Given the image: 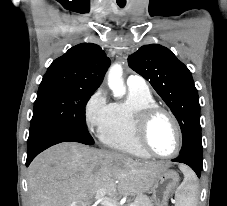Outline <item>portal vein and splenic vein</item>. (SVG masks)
<instances>
[{"label": "portal vein and splenic vein", "instance_id": "18ae733b", "mask_svg": "<svg viewBox=\"0 0 227 206\" xmlns=\"http://www.w3.org/2000/svg\"><path fill=\"white\" fill-rule=\"evenodd\" d=\"M105 194H106V190H99L96 193L95 199L101 202L104 206H118L114 200L105 197ZM70 206H76V203H72ZM131 206H135V205L133 204Z\"/></svg>", "mask_w": 227, "mask_h": 206}]
</instances>
